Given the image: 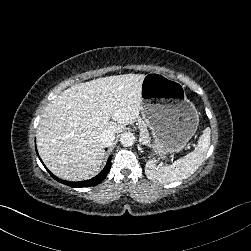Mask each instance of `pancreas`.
<instances>
[{
  "instance_id": "cf45deb5",
  "label": "pancreas",
  "mask_w": 251,
  "mask_h": 251,
  "mask_svg": "<svg viewBox=\"0 0 251 251\" xmlns=\"http://www.w3.org/2000/svg\"><path fill=\"white\" fill-rule=\"evenodd\" d=\"M139 129H140V138L142 139V141H149L151 137L149 135L147 125L143 122H140Z\"/></svg>"
}]
</instances>
